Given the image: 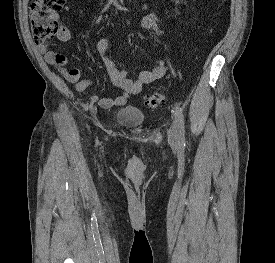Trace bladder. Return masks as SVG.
Wrapping results in <instances>:
<instances>
[{"mask_svg": "<svg viewBox=\"0 0 275 263\" xmlns=\"http://www.w3.org/2000/svg\"><path fill=\"white\" fill-rule=\"evenodd\" d=\"M115 118L117 122L127 127H138L144 123L145 115L138 108L125 105L116 112Z\"/></svg>", "mask_w": 275, "mask_h": 263, "instance_id": "1", "label": "bladder"}]
</instances>
